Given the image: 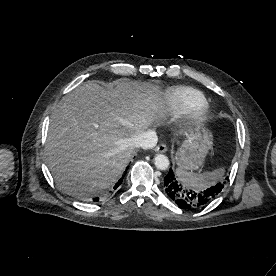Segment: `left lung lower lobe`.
Here are the masks:
<instances>
[{"mask_svg": "<svg viewBox=\"0 0 276 276\" xmlns=\"http://www.w3.org/2000/svg\"><path fill=\"white\" fill-rule=\"evenodd\" d=\"M223 187L224 184L218 183L202 191L189 189L177 179L172 169H169L163 183L166 194L183 208H200L207 205L221 192Z\"/></svg>", "mask_w": 276, "mask_h": 276, "instance_id": "1", "label": "left lung lower lobe"}]
</instances>
